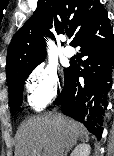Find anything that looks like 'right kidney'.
I'll return each instance as SVG.
<instances>
[{
    "mask_svg": "<svg viewBox=\"0 0 114 156\" xmlns=\"http://www.w3.org/2000/svg\"><path fill=\"white\" fill-rule=\"evenodd\" d=\"M91 151V147L89 144H79L72 151L71 156H89Z\"/></svg>",
    "mask_w": 114,
    "mask_h": 156,
    "instance_id": "ca27d5eb",
    "label": "right kidney"
}]
</instances>
